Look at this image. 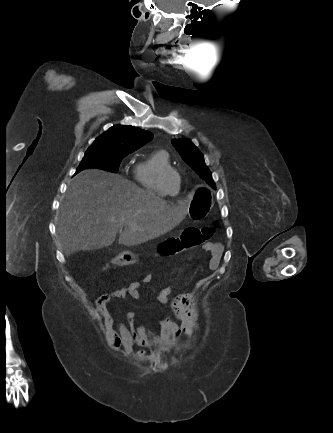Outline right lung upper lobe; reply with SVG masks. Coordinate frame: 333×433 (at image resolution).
<instances>
[{"instance_id":"right-lung-upper-lobe-1","label":"right lung upper lobe","mask_w":333,"mask_h":433,"mask_svg":"<svg viewBox=\"0 0 333 433\" xmlns=\"http://www.w3.org/2000/svg\"><path fill=\"white\" fill-rule=\"evenodd\" d=\"M153 138L149 131L130 125H114L100 135L91 146L132 153Z\"/></svg>"}]
</instances>
